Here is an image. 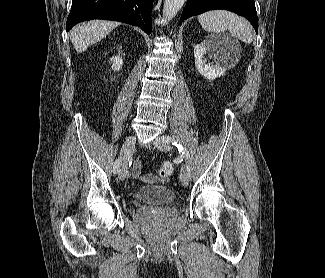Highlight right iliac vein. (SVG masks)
Masks as SVG:
<instances>
[{
	"label": "right iliac vein",
	"mask_w": 325,
	"mask_h": 278,
	"mask_svg": "<svg viewBox=\"0 0 325 278\" xmlns=\"http://www.w3.org/2000/svg\"><path fill=\"white\" fill-rule=\"evenodd\" d=\"M135 142H136V138L130 137L125 141V143L122 146L121 149L122 163L118 171V176L121 180H124L127 177V161L134 150Z\"/></svg>",
	"instance_id": "63e3f726"
}]
</instances>
